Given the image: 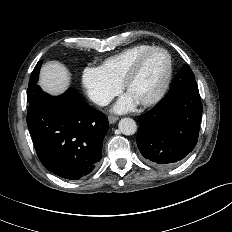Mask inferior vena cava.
<instances>
[{
  "label": "inferior vena cava",
  "mask_w": 232,
  "mask_h": 232,
  "mask_svg": "<svg viewBox=\"0 0 232 232\" xmlns=\"http://www.w3.org/2000/svg\"><path fill=\"white\" fill-rule=\"evenodd\" d=\"M111 98L107 96H99L95 99V103L100 106H106L110 103Z\"/></svg>",
  "instance_id": "inferior-vena-cava-1"
}]
</instances>
